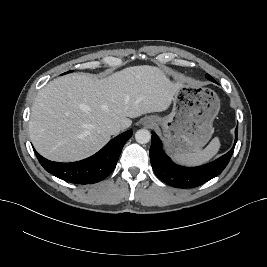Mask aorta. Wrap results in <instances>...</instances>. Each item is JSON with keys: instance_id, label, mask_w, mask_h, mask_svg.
<instances>
[{"instance_id": "obj_1", "label": "aorta", "mask_w": 267, "mask_h": 267, "mask_svg": "<svg viewBox=\"0 0 267 267\" xmlns=\"http://www.w3.org/2000/svg\"><path fill=\"white\" fill-rule=\"evenodd\" d=\"M135 140L139 144H146L151 140V133L147 129H140L135 133Z\"/></svg>"}]
</instances>
